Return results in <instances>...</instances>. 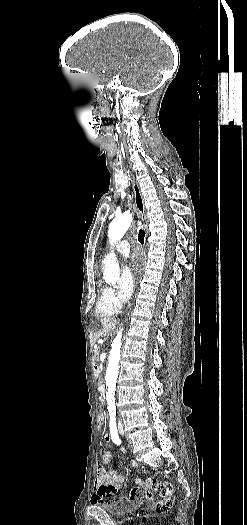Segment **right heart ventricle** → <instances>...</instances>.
Returning <instances> with one entry per match:
<instances>
[{"label":"right heart ventricle","mask_w":247,"mask_h":525,"mask_svg":"<svg viewBox=\"0 0 247 525\" xmlns=\"http://www.w3.org/2000/svg\"><path fill=\"white\" fill-rule=\"evenodd\" d=\"M107 287L100 282L99 284V294L101 296L95 307V317H116L118 314L119 308L117 306L109 305L104 301L105 295H107Z\"/></svg>","instance_id":"e07e8e85"}]
</instances>
